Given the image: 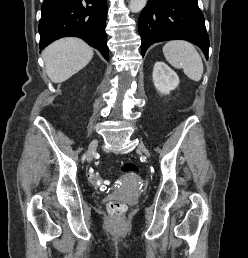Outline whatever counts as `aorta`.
I'll use <instances>...</instances> for the list:
<instances>
[{"mask_svg":"<svg viewBox=\"0 0 248 258\" xmlns=\"http://www.w3.org/2000/svg\"><path fill=\"white\" fill-rule=\"evenodd\" d=\"M147 0H130L129 9L131 12H140L146 5Z\"/></svg>","mask_w":248,"mask_h":258,"instance_id":"obj_1","label":"aorta"}]
</instances>
